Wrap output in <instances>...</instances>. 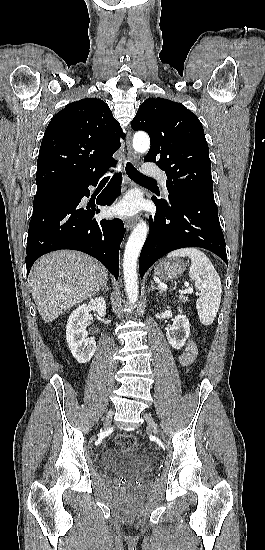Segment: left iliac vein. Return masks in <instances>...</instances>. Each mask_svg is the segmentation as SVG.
<instances>
[{"instance_id": "left-iliac-vein-1", "label": "left iliac vein", "mask_w": 265, "mask_h": 550, "mask_svg": "<svg viewBox=\"0 0 265 550\" xmlns=\"http://www.w3.org/2000/svg\"><path fill=\"white\" fill-rule=\"evenodd\" d=\"M144 417H145V419H146L148 425H149V426L151 427V429L153 430V432H154L155 434H159V430H158V428H157V425H156V423L154 422V420L152 419L151 415L145 414Z\"/></svg>"}]
</instances>
